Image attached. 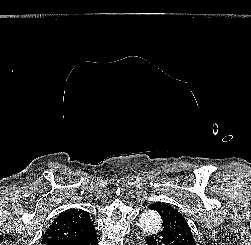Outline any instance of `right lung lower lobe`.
Masks as SVG:
<instances>
[{"label": "right lung lower lobe", "mask_w": 251, "mask_h": 245, "mask_svg": "<svg viewBox=\"0 0 251 245\" xmlns=\"http://www.w3.org/2000/svg\"><path fill=\"white\" fill-rule=\"evenodd\" d=\"M50 245H97V234L96 231H93L90 235L83 238L69 239L51 243Z\"/></svg>", "instance_id": "98d812e1"}]
</instances>
